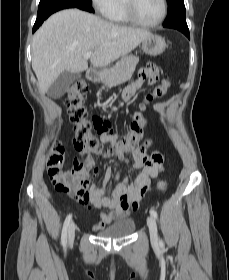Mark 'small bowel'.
I'll use <instances>...</instances> for the list:
<instances>
[{"label": "small bowel", "instance_id": "small-bowel-1", "mask_svg": "<svg viewBox=\"0 0 229 280\" xmlns=\"http://www.w3.org/2000/svg\"><path fill=\"white\" fill-rule=\"evenodd\" d=\"M158 76L159 70L156 66L151 65L142 68L137 77L131 80L125 88L122 95L123 99L131 101L143 84L155 82ZM168 86L169 82L164 81L161 86L155 88L152 94L146 96V102L163 96ZM141 109H145L144 104L141 105ZM99 139L103 143L112 146L117 145V138L111 133L100 132ZM150 144L151 140L148 139L135 149L126 150L125 153L119 155V167L114 175L116 184L112 193L108 196L105 195V183L111 177L110 169L106 168L103 171L102 183L100 185L95 186L91 184L84 187L85 181L89 178V171L93 169L95 173H98L100 170L95 166L94 161L90 157H87L84 163L74 160V166L67 172L65 181L74 185L76 191L67 192L72 199L83 206H93L102 209L101 221L94 226L96 232L103 230L116 219L125 218L137 209L133 201H138L141 198L139 190L148 184L151 178L157 175V173L151 172L144 166V160L148 156L147 151ZM130 160H132V169L138 172L133 176L132 182H129V177L119 181L123 164Z\"/></svg>", "mask_w": 229, "mask_h": 280}]
</instances>
